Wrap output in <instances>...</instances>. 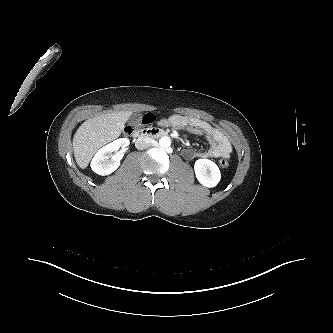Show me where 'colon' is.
Returning a JSON list of instances; mask_svg holds the SVG:
<instances>
[{
	"mask_svg": "<svg viewBox=\"0 0 333 333\" xmlns=\"http://www.w3.org/2000/svg\"><path fill=\"white\" fill-rule=\"evenodd\" d=\"M155 121V117L152 113L144 114L139 121L140 125H150ZM133 130L132 126H128L125 128V134H130ZM219 165L222 168H227L229 166V160L226 156H222L219 160Z\"/></svg>",
	"mask_w": 333,
	"mask_h": 333,
	"instance_id": "obj_1",
	"label": "colon"
}]
</instances>
